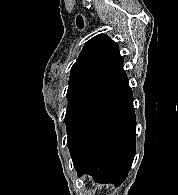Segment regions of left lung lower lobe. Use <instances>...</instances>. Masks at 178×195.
Wrapping results in <instances>:
<instances>
[{
	"label": "left lung lower lobe",
	"instance_id": "left-lung-lower-lobe-1",
	"mask_svg": "<svg viewBox=\"0 0 178 195\" xmlns=\"http://www.w3.org/2000/svg\"><path fill=\"white\" fill-rule=\"evenodd\" d=\"M135 133L133 94L128 86L68 142L78 176L122 184L135 156Z\"/></svg>",
	"mask_w": 178,
	"mask_h": 195
}]
</instances>
